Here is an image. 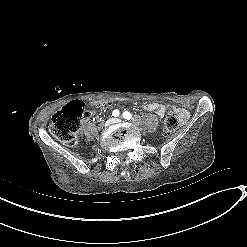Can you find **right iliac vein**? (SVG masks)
I'll return each instance as SVG.
<instances>
[{
  "label": "right iliac vein",
  "instance_id": "obj_1",
  "mask_svg": "<svg viewBox=\"0 0 247 247\" xmlns=\"http://www.w3.org/2000/svg\"><path fill=\"white\" fill-rule=\"evenodd\" d=\"M114 123V119H108L106 122H105V126L107 127V126H109V125H111V124H113Z\"/></svg>",
  "mask_w": 247,
  "mask_h": 247
}]
</instances>
